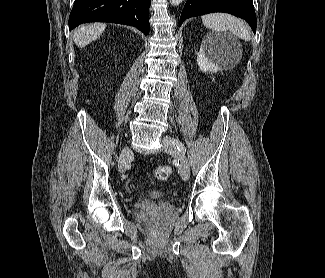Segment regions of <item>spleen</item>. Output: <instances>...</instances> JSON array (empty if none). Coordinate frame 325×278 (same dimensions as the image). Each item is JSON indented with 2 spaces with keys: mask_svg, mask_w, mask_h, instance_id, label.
<instances>
[{
  "mask_svg": "<svg viewBox=\"0 0 325 278\" xmlns=\"http://www.w3.org/2000/svg\"><path fill=\"white\" fill-rule=\"evenodd\" d=\"M202 22L208 29L215 32L230 31L233 35L249 41L251 34L249 27L240 19L224 13H211L202 16Z\"/></svg>",
  "mask_w": 325,
  "mask_h": 278,
  "instance_id": "obj_1",
  "label": "spleen"
}]
</instances>
